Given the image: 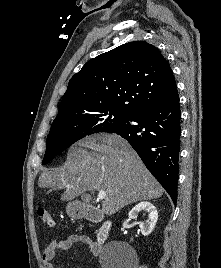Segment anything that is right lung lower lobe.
I'll list each match as a JSON object with an SVG mask.
<instances>
[{"mask_svg":"<svg viewBox=\"0 0 221 268\" xmlns=\"http://www.w3.org/2000/svg\"><path fill=\"white\" fill-rule=\"evenodd\" d=\"M180 118L177 97L137 112L126 124L108 132L120 135L131 144L174 204L177 203Z\"/></svg>","mask_w":221,"mask_h":268,"instance_id":"98d812e1","label":"right lung lower lobe"}]
</instances>
